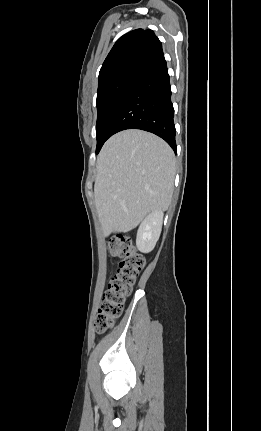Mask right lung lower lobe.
Segmentation results:
<instances>
[{
    "label": "right lung lower lobe",
    "instance_id": "obj_1",
    "mask_svg": "<svg viewBox=\"0 0 261 431\" xmlns=\"http://www.w3.org/2000/svg\"><path fill=\"white\" fill-rule=\"evenodd\" d=\"M173 115L169 74L162 55L140 70L111 123L109 136L126 129L145 130L164 139L176 153Z\"/></svg>",
    "mask_w": 261,
    "mask_h": 431
}]
</instances>
